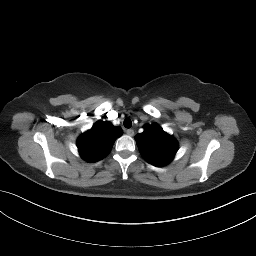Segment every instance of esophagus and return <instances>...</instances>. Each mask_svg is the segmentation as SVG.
Listing matches in <instances>:
<instances>
[{
  "label": "esophagus",
  "mask_w": 256,
  "mask_h": 256,
  "mask_svg": "<svg viewBox=\"0 0 256 256\" xmlns=\"http://www.w3.org/2000/svg\"><path fill=\"white\" fill-rule=\"evenodd\" d=\"M126 133H127V135H129V136H133V135H134V130H133V129H127V130H126Z\"/></svg>",
  "instance_id": "esophagus-1"
}]
</instances>
